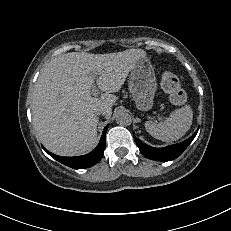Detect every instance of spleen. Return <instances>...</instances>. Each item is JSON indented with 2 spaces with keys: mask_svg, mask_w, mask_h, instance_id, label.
Returning <instances> with one entry per match:
<instances>
[{
  "mask_svg": "<svg viewBox=\"0 0 231 231\" xmlns=\"http://www.w3.org/2000/svg\"><path fill=\"white\" fill-rule=\"evenodd\" d=\"M193 111L189 105L172 112L162 122L146 121L145 129L154 138L163 142L177 141L190 129Z\"/></svg>",
  "mask_w": 231,
  "mask_h": 231,
  "instance_id": "1",
  "label": "spleen"
}]
</instances>
